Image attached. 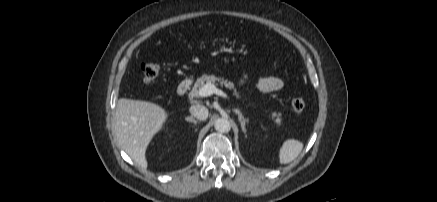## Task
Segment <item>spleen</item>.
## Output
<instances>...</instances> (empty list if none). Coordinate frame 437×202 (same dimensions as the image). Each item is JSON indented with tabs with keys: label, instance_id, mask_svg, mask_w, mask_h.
I'll return each instance as SVG.
<instances>
[{
	"label": "spleen",
	"instance_id": "3e777b00",
	"mask_svg": "<svg viewBox=\"0 0 437 202\" xmlns=\"http://www.w3.org/2000/svg\"><path fill=\"white\" fill-rule=\"evenodd\" d=\"M303 149V143L295 140H286L279 150V162L288 164L298 157Z\"/></svg>",
	"mask_w": 437,
	"mask_h": 202
}]
</instances>
